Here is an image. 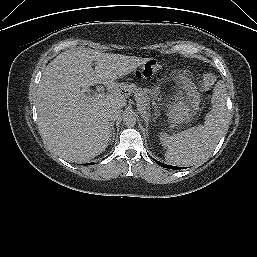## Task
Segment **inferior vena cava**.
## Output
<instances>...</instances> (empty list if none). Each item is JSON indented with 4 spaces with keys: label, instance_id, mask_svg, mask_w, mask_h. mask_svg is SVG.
I'll return each mask as SVG.
<instances>
[{
    "label": "inferior vena cava",
    "instance_id": "1",
    "mask_svg": "<svg viewBox=\"0 0 257 257\" xmlns=\"http://www.w3.org/2000/svg\"><path fill=\"white\" fill-rule=\"evenodd\" d=\"M121 116V111L120 110H111L106 114L107 119L111 122L114 123L117 119H119Z\"/></svg>",
    "mask_w": 257,
    "mask_h": 257
}]
</instances>
